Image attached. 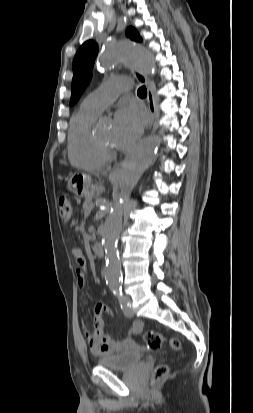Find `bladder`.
Segmentation results:
<instances>
[{"instance_id":"31cf9c89","label":"bladder","mask_w":253,"mask_h":413,"mask_svg":"<svg viewBox=\"0 0 253 413\" xmlns=\"http://www.w3.org/2000/svg\"><path fill=\"white\" fill-rule=\"evenodd\" d=\"M144 358V352L139 348H131L100 357L97 364L106 368L127 371L138 366Z\"/></svg>"}]
</instances>
